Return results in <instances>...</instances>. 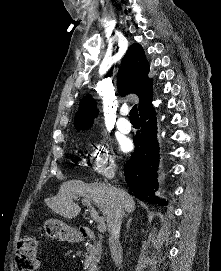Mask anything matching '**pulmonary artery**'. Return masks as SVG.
<instances>
[{
  "label": "pulmonary artery",
  "mask_w": 221,
  "mask_h": 271,
  "mask_svg": "<svg viewBox=\"0 0 221 271\" xmlns=\"http://www.w3.org/2000/svg\"><path fill=\"white\" fill-rule=\"evenodd\" d=\"M117 121L114 122L115 126H118V129L121 130L123 133H129L130 129L129 128H124L122 126H129L130 122L128 121V117H124L125 113L124 112H117Z\"/></svg>",
  "instance_id": "obj_1"
}]
</instances>
